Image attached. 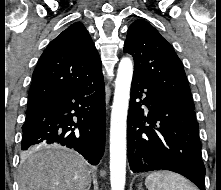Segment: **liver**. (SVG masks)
<instances>
[{
  "instance_id": "liver-1",
  "label": "liver",
  "mask_w": 221,
  "mask_h": 190,
  "mask_svg": "<svg viewBox=\"0 0 221 190\" xmlns=\"http://www.w3.org/2000/svg\"><path fill=\"white\" fill-rule=\"evenodd\" d=\"M90 184L86 160L72 150L54 147L21 155L19 190H86Z\"/></svg>"
}]
</instances>
